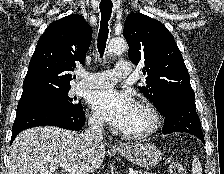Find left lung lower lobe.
Here are the masks:
<instances>
[{
	"instance_id": "left-lung-lower-lobe-1",
	"label": "left lung lower lobe",
	"mask_w": 224,
	"mask_h": 174,
	"mask_svg": "<svg viewBox=\"0 0 224 174\" xmlns=\"http://www.w3.org/2000/svg\"><path fill=\"white\" fill-rule=\"evenodd\" d=\"M195 97H167L159 112L165 117L163 134L186 132L198 137L204 143L201 123L196 112Z\"/></svg>"
}]
</instances>
